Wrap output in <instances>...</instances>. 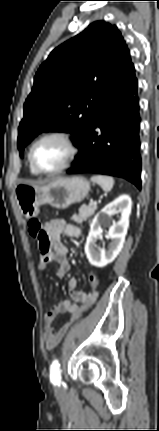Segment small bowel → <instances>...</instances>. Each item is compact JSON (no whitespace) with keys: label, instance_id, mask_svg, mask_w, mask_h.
<instances>
[{"label":"small bowel","instance_id":"1","mask_svg":"<svg viewBox=\"0 0 159 431\" xmlns=\"http://www.w3.org/2000/svg\"><path fill=\"white\" fill-rule=\"evenodd\" d=\"M44 234L37 238L39 246L38 269L44 270L50 263L56 265V276L63 278L70 271V264L67 260V247L62 242V235L77 238L81 235V230L68 224L62 219H52L43 226ZM68 291L71 300H61L56 303L45 316V345L48 350H53L61 342L71 324L78 318L75 311L80 310V305H92L98 297V289L93 296L96 299L88 300V292H82L77 288V279L72 277L68 282ZM88 300V303H85ZM59 314H68L67 319L59 328H55L54 321Z\"/></svg>","mask_w":159,"mask_h":431}]
</instances>
